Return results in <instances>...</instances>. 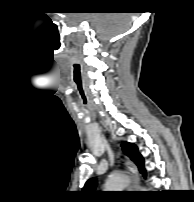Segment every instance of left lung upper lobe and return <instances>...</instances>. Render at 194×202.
<instances>
[{
	"label": "left lung upper lobe",
	"mask_w": 194,
	"mask_h": 202,
	"mask_svg": "<svg viewBox=\"0 0 194 202\" xmlns=\"http://www.w3.org/2000/svg\"><path fill=\"white\" fill-rule=\"evenodd\" d=\"M122 149L124 153L130 157V159L137 165L139 171L143 174V176L146 178V171L144 168V159L141 156V154L138 152V148L135 144L124 142L122 143ZM97 182L95 181V178L89 179L83 190L85 192H94L96 188Z\"/></svg>",
	"instance_id": "5c2ea615"
}]
</instances>
